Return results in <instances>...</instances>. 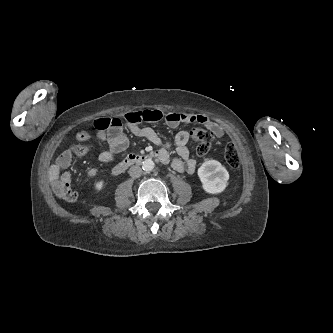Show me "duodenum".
Instances as JSON below:
<instances>
[{"instance_id": "duodenum-1", "label": "duodenum", "mask_w": 333, "mask_h": 333, "mask_svg": "<svg viewBox=\"0 0 333 333\" xmlns=\"http://www.w3.org/2000/svg\"><path fill=\"white\" fill-rule=\"evenodd\" d=\"M151 159L160 160L158 152H150L145 154H138V153L130 154L127 157H125L122 161H120L118 164H116L112 172L115 175H119L124 173L129 167Z\"/></svg>"}]
</instances>
